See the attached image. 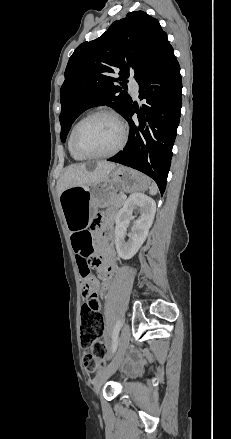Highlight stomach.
I'll list each match as a JSON object with an SVG mask.
<instances>
[{"mask_svg":"<svg viewBox=\"0 0 231 439\" xmlns=\"http://www.w3.org/2000/svg\"><path fill=\"white\" fill-rule=\"evenodd\" d=\"M149 185L150 179L145 175L117 166L92 185L70 187L59 197L66 225L70 230H82L89 225L97 208L109 206L110 198L118 191H143Z\"/></svg>","mask_w":231,"mask_h":439,"instance_id":"0dacf381","label":"stomach"}]
</instances>
